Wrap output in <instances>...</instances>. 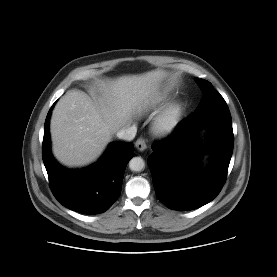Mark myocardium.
I'll list each match as a JSON object with an SVG mask.
<instances>
[{"label": "myocardium", "mask_w": 277, "mask_h": 277, "mask_svg": "<svg viewBox=\"0 0 277 277\" xmlns=\"http://www.w3.org/2000/svg\"><path fill=\"white\" fill-rule=\"evenodd\" d=\"M183 115V106L173 103L167 106L155 119L152 130L158 137H167L172 134L179 125Z\"/></svg>", "instance_id": "obj_1"}]
</instances>
